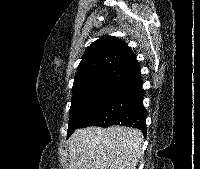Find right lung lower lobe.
Returning a JSON list of instances; mask_svg holds the SVG:
<instances>
[{
	"instance_id": "1",
	"label": "right lung lower lobe",
	"mask_w": 200,
	"mask_h": 169,
	"mask_svg": "<svg viewBox=\"0 0 200 169\" xmlns=\"http://www.w3.org/2000/svg\"><path fill=\"white\" fill-rule=\"evenodd\" d=\"M143 89L141 75L118 83L106 101L78 128L111 125L131 126L146 135L147 112L142 105Z\"/></svg>"
}]
</instances>
